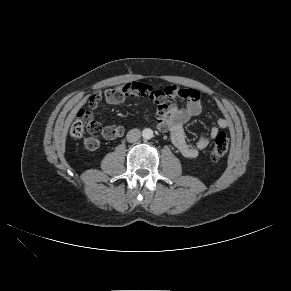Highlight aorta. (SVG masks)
Segmentation results:
<instances>
[{
  "label": "aorta",
  "mask_w": 291,
  "mask_h": 291,
  "mask_svg": "<svg viewBox=\"0 0 291 291\" xmlns=\"http://www.w3.org/2000/svg\"><path fill=\"white\" fill-rule=\"evenodd\" d=\"M142 136L145 140H149L151 139L154 135H153V130L150 128H145L142 131Z\"/></svg>",
  "instance_id": "1"
}]
</instances>
